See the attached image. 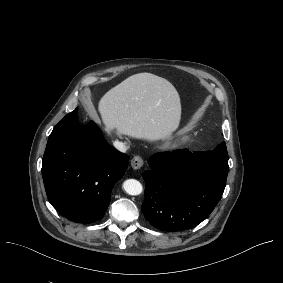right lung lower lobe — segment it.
Listing matches in <instances>:
<instances>
[{
	"label": "right lung lower lobe",
	"instance_id": "98d812e1",
	"mask_svg": "<svg viewBox=\"0 0 283 283\" xmlns=\"http://www.w3.org/2000/svg\"><path fill=\"white\" fill-rule=\"evenodd\" d=\"M76 108L53 129L42 160V176L49 202L64 217L92 223L104 216L116 181L129 156L109 145L90 122L78 125Z\"/></svg>",
	"mask_w": 283,
	"mask_h": 283
}]
</instances>
